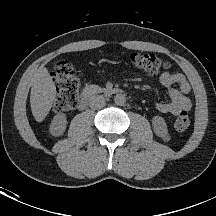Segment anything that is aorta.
<instances>
[{
    "instance_id": "obj_1",
    "label": "aorta",
    "mask_w": 216,
    "mask_h": 216,
    "mask_svg": "<svg viewBox=\"0 0 216 216\" xmlns=\"http://www.w3.org/2000/svg\"><path fill=\"white\" fill-rule=\"evenodd\" d=\"M126 102V96L124 94H116L114 96V103L116 105H124Z\"/></svg>"
}]
</instances>
